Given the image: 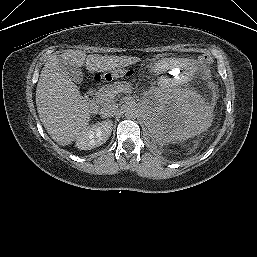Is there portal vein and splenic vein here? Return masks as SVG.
I'll return each mask as SVG.
<instances>
[{
    "instance_id": "1",
    "label": "portal vein and splenic vein",
    "mask_w": 257,
    "mask_h": 257,
    "mask_svg": "<svg viewBox=\"0 0 257 257\" xmlns=\"http://www.w3.org/2000/svg\"><path fill=\"white\" fill-rule=\"evenodd\" d=\"M128 90H129L128 88L121 87V88H118L117 91H115L114 93L117 94L120 92H129Z\"/></svg>"
}]
</instances>
